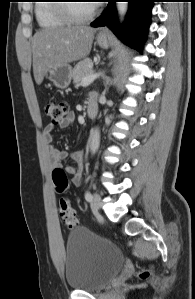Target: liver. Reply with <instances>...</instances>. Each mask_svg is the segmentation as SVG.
<instances>
[{"label": "liver", "mask_w": 195, "mask_h": 299, "mask_svg": "<svg viewBox=\"0 0 195 299\" xmlns=\"http://www.w3.org/2000/svg\"><path fill=\"white\" fill-rule=\"evenodd\" d=\"M95 30L88 26H60L42 29L32 39L33 73L40 85L50 67L68 65L87 57Z\"/></svg>", "instance_id": "obj_1"}]
</instances>
